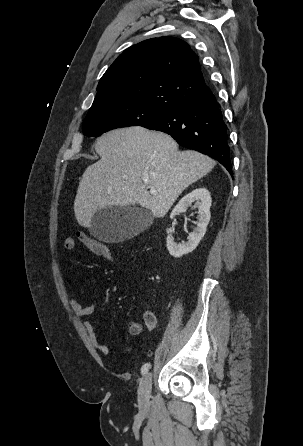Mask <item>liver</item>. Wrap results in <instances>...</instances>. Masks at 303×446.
Returning <instances> with one entry per match:
<instances>
[{
	"label": "liver",
	"instance_id": "obj_1",
	"mask_svg": "<svg viewBox=\"0 0 303 446\" xmlns=\"http://www.w3.org/2000/svg\"><path fill=\"white\" fill-rule=\"evenodd\" d=\"M95 150L101 159L83 173L74 201L75 217L83 227H90L98 210L111 206L138 204L161 218L183 190L216 165L199 152H180L169 135L140 126L105 133Z\"/></svg>",
	"mask_w": 303,
	"mask_h": 446
}]
</instances>
